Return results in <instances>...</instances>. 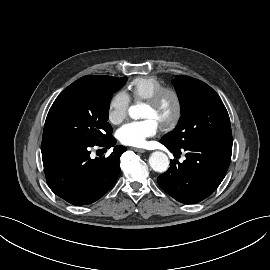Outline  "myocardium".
Returning a JSON list of instances; mask_svg holds the SVG:
<instances>
[{
	"mask_svg": "<svg viewBox=\"0 0 270 270\" xmlns=\"http://www.w3.org/2000/svg\"><path fill=\"white\" fill-rule=\"evenodd\" d=\"M166 95H171L174 99V113L169 120L162 122L160 126L163 130H171L179 124L183 115V101L179 91L173 87L163 86L148 97L146 102L157 106Z\"/></svg>",
	"mask_w": 270,
	"mask_h": 270,
	"instance_id": "1",
	"label": "myocardium"
}]
</instances>
